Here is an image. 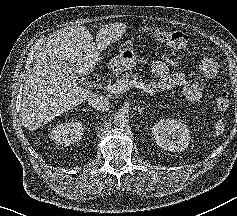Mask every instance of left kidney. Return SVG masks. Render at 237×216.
<instances>
[{
	"label": "left kidney",
	"mask_w": 237,
	"mask_h": 216,
	"mask_svg": "<svg viewBox=\"0 0 237 216\" xmlns=\"http://www.w3.org/2000/svg\"><path fill=\"white\" fill-rule=\"evenodd\" d=\"M152 133L156 144L168 151H183L191 140L187 125L174 119L158 121L152 127Z\"/></svg>",
	"instance_id": "5707ae66"
}]
</instances>
